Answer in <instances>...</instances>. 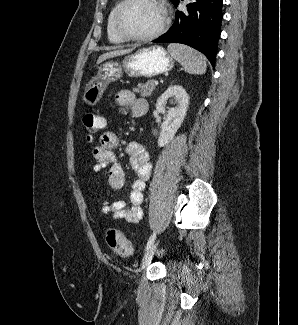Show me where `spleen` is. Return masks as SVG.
I'll return each mask as SVG.
<instances>
[{
	"label": "spleen",
	"instance_id": "1",
	"mask_svg": "<svg viewBox=\"0 0 298 325\" xmlns=\"http://www.w3.org/2000/svg\"><path fill=\"white\" fill-rule=\"evenodd\" d=\"M167 50L183 66L185 72L205 74L207 70L206 56H203L198 50H194L186 44H176V42L168 44Z\"/></svg>",
	"mask_w": 298,
	"mask_h": 325
}]
</instances>
